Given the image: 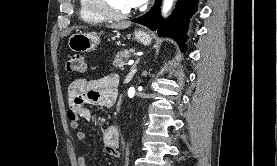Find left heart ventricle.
<instances>
[{
  "label": "left heart ventricle",
  "mask_w": 277,
  "mask_h": 166,
  "mask_svg": "<svg viewBox=\"0 0 277 166\" xmlns=\"http://www.w3.org/2000/svg\"><path fill=\"white\" fill-rule=\"evenodd\" d=\"M103 5L114 13H124L132 9L130 0H99Z\"/></svg>",
  "instance_id": "1"
}]
</instances>
